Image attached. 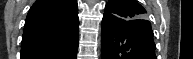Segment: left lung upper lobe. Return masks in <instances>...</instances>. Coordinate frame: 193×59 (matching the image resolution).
Listing matches in <instances>:
<instances>
[{
    "mask_svg": "<svg viewBox=\"0 0 193 59\" xmlns=\"http://www.w3.org/2000/svg\"><path fill=\"white\" fill-rule=\"evenodd\" d=\"M105 13H110L126 21L141 22L146 20V10L135 0H109Z\"/></svg>",
    "mask_w": 193,
    "mask_h": 59,
    "instance_id": "left-lung-upper-lobe-1",
    "label": "left lung upper lobe"
}]
</instances>
